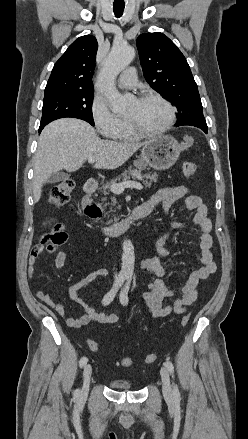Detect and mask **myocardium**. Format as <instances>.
<instances>
[{
    "instance_id": "f54148a6",
    "label": "myocardium",
    "mask_w": 248,
    "mask_h": 439,
    "mask_svg": "<svg viewBox=\"0 0 248 439\" xmlns=\"http://www.w3.org/2000/svg\"><path fill=\"white\" fill-rule=\"evenodd\" d=\"M150 99L159 100L166 105V107L168 108V111H169V120L164 127L160 128L158 130L150 131V130H145L142 127H140L138 125V123L136 121H134L133 119L127 118V122L129 124L130 128L132 129V131L135 132L140 137H149V136H156V135L164 134V133L168 132L173 127V125L175 124V121H176V109L172 105V103L164 96H162L158 93L151 92V93H145V94L141 95L137 100L145 101V100H150Z\"/></svg>"
}]
</instances>
